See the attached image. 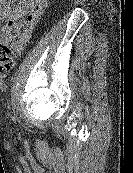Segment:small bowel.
<instances>
[{
    "instance_id": "c3829d8e",
    "label": "small bowel",
    "mask_w": 133,
    "mask_h": 173,
    "mask_svg": "<svg viewBox=\"0 0 133 173\" xmlns=\"http://www.w3.org/2000/svg\"><path fill=\"white\" fill-rule=\"evenodd\" d=\"M0 0V43L11 44L21 53L46 8L47 0Z\"/></svg>"
}]
</instances>
